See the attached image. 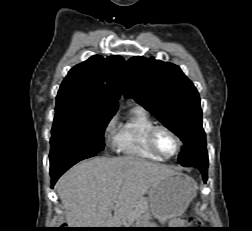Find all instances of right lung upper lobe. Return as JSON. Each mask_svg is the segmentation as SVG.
<instances>
[{
	"mask_svg": "<svg viewBox=\"0 0 252 231\" xmlns=\"http://www.w3.org/2000/svg\"><path fill=\"white\" fill-rule=\"evenodd\" d=\"M124 59L99 55L74 66L63 80L56 106H79L116 112Z\"/></svg>",
	"mask_w": 252,
	"mask_h": 231,
	"instance_id": "right-lung-upper-lobe-1",
	"label": "right lung upper lobe"
}]
</instances>
